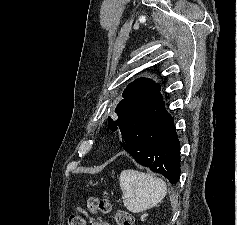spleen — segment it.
<instances>
[{
	"mask_svg": "<svg viewBox=\"0 0 237 225\" xmlns=\"http://www.w3.org/2000/svg\"><path fill=\"white\" fill-rule=\"evenodd\" d=\"M120 186L125 199V207L133 213L146 211L167 194V185L161 178L137 170H123Z\"/></svg>",
	"mask_w": 237,
	"mask_h": 225,
	"instance_id": "obj_1",
	"label": "spleen"
}]
</instances>
